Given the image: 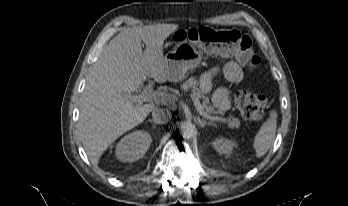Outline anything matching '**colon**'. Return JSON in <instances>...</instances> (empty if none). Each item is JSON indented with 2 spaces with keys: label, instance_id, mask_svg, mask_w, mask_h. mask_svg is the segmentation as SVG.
<instances>
[{
  "label": "colon",
  "instance_id": "colon-1",
  "mask_svg": "<svg viewBox=\"0 0 348 206\" xmlns=\"http://www.w3.org/2000/svg\"><path fill=\"white\" fill-rule=\"evenodd\" d=\"M179 39L201 42L207 50L218 55L235 57L252 69L260 63L259 57L252 51L251 39L235 30L200 26L180 31ZM235 103L241 115L249 120L262 119L267 106L265 96L246 90L236 94Z\"/></svg>",
  "mask_w": 348,
  "mask_h": 206
}]
</instances>
